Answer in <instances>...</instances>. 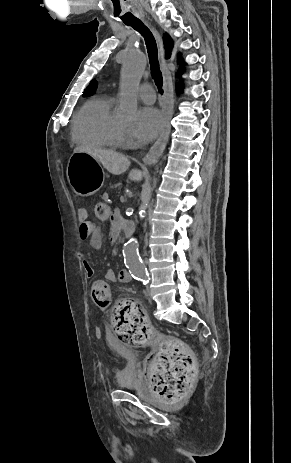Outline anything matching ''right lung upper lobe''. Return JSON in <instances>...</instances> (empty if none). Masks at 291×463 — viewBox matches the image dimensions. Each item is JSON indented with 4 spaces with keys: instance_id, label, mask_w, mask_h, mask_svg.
I'll return each instance as SVG.
<instances>
[{
    "instance_id": "cb5924a9",
    "label": "right lung upper lobe",
    "mask_w": 291,
    "mask_h": 463,
    "mask_svg": "<svg viewBox=\"0 0 291 463\" xmlns=\"http://www.w3.org/2000/svg\"><path fill=\"white\" fill-rule=\"evenodd\" d=\"M164 40V48H165V53H166V59L170 58L171 56V51H172V48H173V42H172V39L171 37L166 34V36L163 38ZM180 60V58H179ZM183 63V61H181V64Z\"/></svg>"
}]
</instances>
